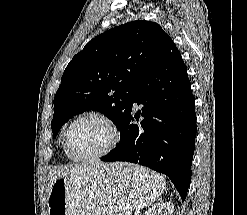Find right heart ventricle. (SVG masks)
<instances>
[{
  "instance_id": "obj_1",
  "label": "right heart ventricle",
  "mask_w": 247,
  "mask_h": 215,
  "mask_svg": "<svg viewBox=\"0 0 247 215\" xmlns=\"http://www.w3.org/2000/svg\"><path fill=\"white\" fill-rule=\"evenodd\" d=\"M63 136H64V134L62 135V138H61V147H62V150H63L64 154L67 156V154H66V152L64 150V146H63Z\"/></svg>"
}]
</instances>
